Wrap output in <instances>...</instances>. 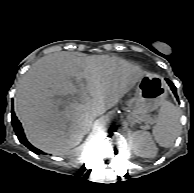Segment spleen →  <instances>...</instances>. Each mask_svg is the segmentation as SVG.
I'll list each match as a JSON object with an SVG mask.
<instances>
[{
  "mask_svg": "<svg viewBox=\"0 0 194 193\" xmlns=\"http://www.w3.org/2000/svg\"><path fill=\"white\" fill-rule=\"evenodd\" d=\"M180 111L169 101H163L159 109L157 123L153 127L156 142L162 146L171 147L180 133Z\"/></svg>",
  "mask_w": 194,
  "mask_h": 193,
  "instance_id": "1",
  "label": "spleen"
}]
</instances>
